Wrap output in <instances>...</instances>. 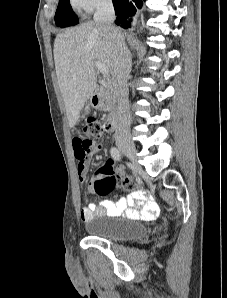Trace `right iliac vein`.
<instances>
[{
    "instance_id": "obj_1",
    "label": "right iliac vein",
    "mask_w": 227,
    "mask_h": 298,
    "mask_svg": "<svg viewBox=\"0 0 227 298\" xmlns=\"http://www.w3.org/2000/svg\"><path fill=\"white\" fill-rule=\"evenodd\" d=\"M118 148L124 153L133 163H136V148L132 142H121L118 144Z\"/></svg>"
}]
</instances>
